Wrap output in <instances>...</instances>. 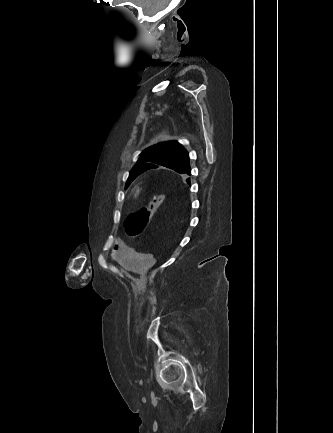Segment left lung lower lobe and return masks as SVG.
I'll list each match as a JSON object with an SVG mask.
<instances>
[{
	"label": "left lung lower lobe",
	"mask_w": 333,
	"mask_h": 433,
	"mask_svg": "<svg viewBox=\"0 0 333 433\" xmlns=\"http://www.w3.org/2000/svg\"><path fill=\"white\" fill-rule=\"evenodd\" d=\"M145 170L144 171H146V170H149V169H153V168H156V167H154L153 165H146L145 167ZM143 171V172H144ZM186 174H191V169H189V171L188 172H186Z\"/></svg>",
	"instance_id": "0a47b994"
}]
</instances>
